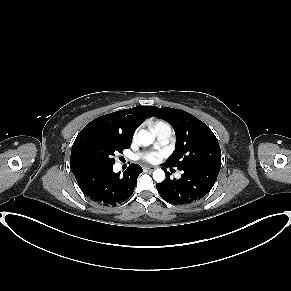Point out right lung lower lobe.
<instances>
[{"instance_id": "98d812e1", "label": "right lung lower lobe", "mask_w": 291, "mask_h": 291, "mask_svg": "<svg viewBox=\"0 0 291 291\" xmlns=\"http://www.w3.org/2000/svg\"><path fill=\"white\" fill-rule=\"evenodd\" d=\"M143 172L138 164H131L123 176L113 172V166L94 168L75 174L81 190L92 200L106 206L126 201L134 192L138 175Z\"/></svg>"}]
</instances>
